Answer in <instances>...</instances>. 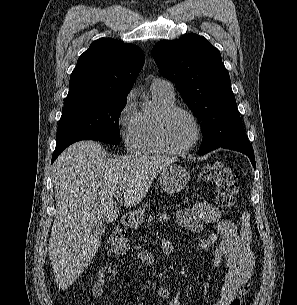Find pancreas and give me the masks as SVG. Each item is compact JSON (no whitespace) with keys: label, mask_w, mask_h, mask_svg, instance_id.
<instances>
[{"label":"pancreas","mask_w":297,"mask_h":305,"mask_svg":"<svg viewBox=\"0 0 297 305\" xmlns=\"http://www.w3.org/2000/svg\"><path fill=\"white\" fill-rule=\"evenodd\" d=\"M166 217H167V216H166L165 214H159V218H160V219H164V218H166ZM152 221H153V218H152V217H149L148 223L151 224Z\"/></svg>","instance_id":"obj_1"}]
</instances>
